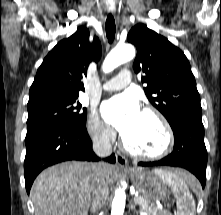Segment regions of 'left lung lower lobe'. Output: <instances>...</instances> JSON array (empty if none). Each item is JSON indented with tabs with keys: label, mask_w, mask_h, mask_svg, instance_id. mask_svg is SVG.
Here are the masks:
<instances>
[{
	"label": "left lung lower lobe",
	"mask_w": 221,
	"mask_h": 215,
	"mask_svg": "<svg viewBox=\"0 0 221 215\" xmlns=\"http://www.w3.org/2000/svg\"><path fill=\"white\" fill-rule=\"evenodd\" d=\"M175 145L173 152L154 162H140V166L182 167L206 183L207 150L204 143V126L201 117L179 115L171 126Z\"/></svg>",
	"instance_id": "obj_1"
}]
</instances>
